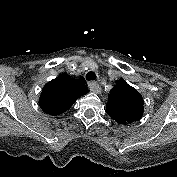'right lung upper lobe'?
<instances>
[{
    "mask_svg": "<svg viewBox=\"0 0 177 177\" xmlns=\"http://www.w3.org/2000/svg\"><path fill=\"white\" fill-rule=\"evenodd\" d=\"M86 93L80 81L61 74L44 86L39 105L47 114L56 116L68 110Z\"/></svg>",
    "mask_w": 177,
    "mask_h": 177,
    "instance_id": "cb5924a9",
    "label": "right lung upper lobe"
}]
</instances>
